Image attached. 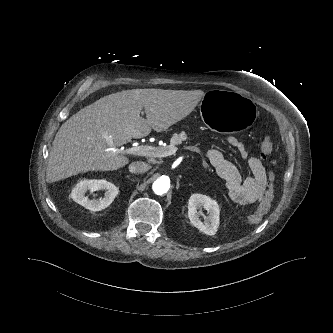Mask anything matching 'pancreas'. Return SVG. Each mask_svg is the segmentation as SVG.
<instances>
[{
  "label": "pancreas",
  "instance_id": "pancreas-1",
  "mask_svg": "<svg viewBox=\"0 0 333 333\" xmlns=\"http://www.w3.org/2000/svg\"><path fill=\"white\" fill-rule=\"evenodd\" d=\"M188 139L187 134L182 131L180 133H175L173 134L171 140H170V145L169 146H176L181 144L182 142L186 141Z\"/></svg>",
  "mask_w": 333,
  "mask_h": 333
}]
</instances>
